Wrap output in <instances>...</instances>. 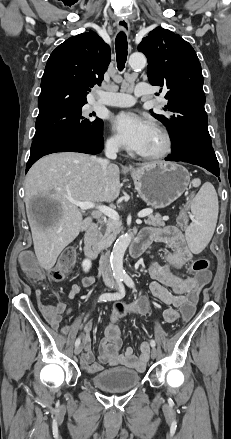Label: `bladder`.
I'll list each match as a JSON object with an SVG mask.
<instances>
[{
  "label": "bladder",
  "instance_id": "31cf9c89",
  "mask_svg": "<svg viewBox=\"0 0 231 439\" xmlns=\"http://www.w3.org/2000/svg\"><path fill=\"white\" fill-rule=\"evenodd\" d=\"M91 383L102 390L121 391L136 387L141 376L134 370L117 367L103 370L90 378Z\"/></svg>",
  "mask_w": 231,
  "mask_h": 439
}]
</instances>
